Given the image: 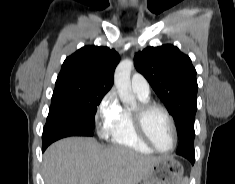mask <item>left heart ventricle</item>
Segmentation results:
<instances>
[{
	"instance_id": "1",
	"label": "left heart ventricle",
	"mask_w": 235,
	"mask_h": 184,
	"mask_svg": "<svg viewBox=\"0 0 235 184\" xmlns=\"http://www.w3.org/2000/svg\"><path fill=\"white\" fill-rule=\"evenodd\" d=\"M147 127L156 147L169 152L173 147L174 139L166 115L160 110L152 111L147 117Z\"/></svg>"
}]
</instances>
